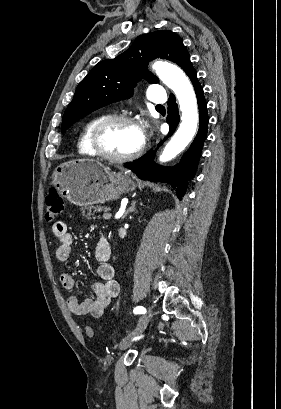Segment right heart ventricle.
<instances>
[{"instance_id": "obj_1", "label": "right heart ventricle", "mask_w": 281, "mask_h": 409, "mask_svg": "<svg viewBox=\"0 0 281 409\" xmlns=\"http://www.w3.org/2000/svg\"><path fill=\"white\" fill-rule=\"evenodd\" d=\"M108 116L110 115L107 113H100L91 117L86 122L78 142V149L82 155L91 157L99 156L93 144L94 131L98 123Z\"/></svg>"}]
</instances>
